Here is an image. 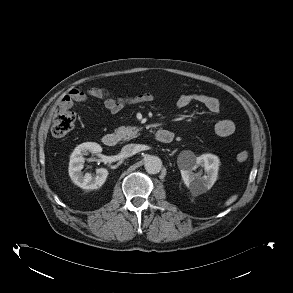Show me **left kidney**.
Instances as JSON below:
<instances>
[{
  "mask_svg": "<svg viewBox=\"0 0 293 293\" xmlns=\"http://www.w3.org/2000/svg\"><path fill=\"white\" fill-rule=\"evenodd\" d=\"M219 159L212 154H203L191 159L188 163L179 164L182 179L190 192L197 196L209 190L217 180ZM203 167L205 175L194 173L198 167Z\"/></svg>",
  "mask_w": 293,
  "mask_h": 293,
  "instance_id": "5707ae66",
  "label": "left kidney"
}]
</instances>
